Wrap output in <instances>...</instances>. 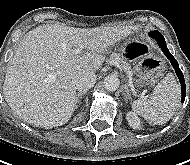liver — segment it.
I'll use <instances>...</instances> for the list:
<instances>
[{"mask_svg": "<svg viewBox=\"0 0 190 165\" xmlns=\"http://www.w3.org/2000/svg\"><path fill=\"white\" fill-rule=\"evenodd\" d=\"M135 27L75 28L47 24L29 31L8 63L3 93L11 109L35 127L67 123L76 100V78L98 70L109 47ZM88 50L74 54L73 49Z\"/></svg>", "mask_w": 190, "mask_h": 165, "instance_id": "6515ba94", "label": "liver"}]
</instances>
